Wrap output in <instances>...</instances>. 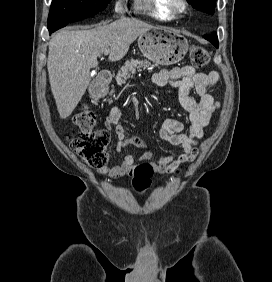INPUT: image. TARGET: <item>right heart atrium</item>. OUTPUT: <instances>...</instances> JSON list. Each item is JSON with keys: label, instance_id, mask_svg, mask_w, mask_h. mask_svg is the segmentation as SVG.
I'll return each instance as SVG.
<instances>
[{"label": "right heart atrium", "instance_id": "d8ad5b80", "mask_svg": "<svg viewBox=\"0 0 272 282\" xmlns=\"http://www.w3.org/2000/svg\"><path fill=\"white\" fill-rule=\"evenodd\" d=\"M113 10L116 16L123 15L126 11V5H125L124 0H116L114 3Z\"/></svg>", "mask_w": 272, "mask_h": 282}]
</instances>
